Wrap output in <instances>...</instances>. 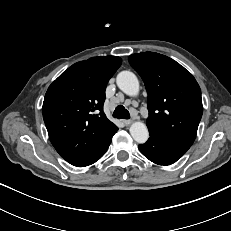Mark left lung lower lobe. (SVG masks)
I'll use <instances>...</instances> for the list:
<instances>
[{
    "mask_svg": "<svg viewBox=\"0 0 231 231\" xmlns=\"http://www.w3.org/2000/svg\"><path fill=\"white\" fill-rule=\"evenodd\" d=\"M149 139L140 144L141 153L150 161L159 165H170L176 162L189 148L181 146L161 135L149 131Z\"/></svg>",
    "mask_w": 231,
    "mask_h": 231,
    "instance_id": "obj_1",
    "label": "left lung lower lobe"
}]
</instances>
